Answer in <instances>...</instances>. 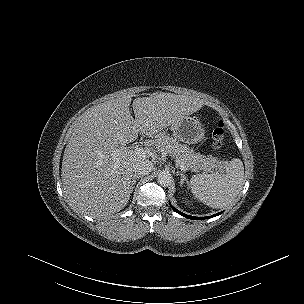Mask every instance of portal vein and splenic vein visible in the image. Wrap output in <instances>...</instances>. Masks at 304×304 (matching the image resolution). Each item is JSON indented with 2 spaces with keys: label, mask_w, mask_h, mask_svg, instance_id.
Masks as SVG:
<instances>
[{
  "label": "portal vein and splenic vein",
  "mask_w": 304,
  "mask_h": 304,
  "mask_svg": "<svg viewBox=\"0 0 304 304\" xmlns=\"http://www.w3.org/2000/svg\"><path fill=\"white\" fill-rule=\"evenodd\" d=\"M134 151H135V153H137V154H142V155L149 154V152H147V150H144V149L141 148V147H135ZM179 167H180V169H181L182 171L188 170V168L185 167L184 165H179Z\"/></svg>",
  "instance_id": "18ae733b"
}]
</instances>
